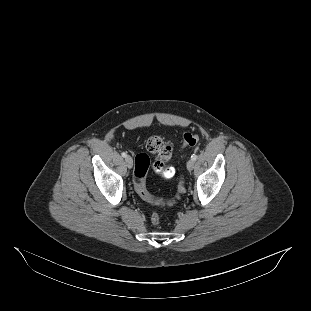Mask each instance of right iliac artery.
Instances as JSON below:
<instances>
[{
	"mask_svg": "<svg viewBox=\"0 0 311 311\" xmlns=\"http://www.w3.org/2000/svg\"><path fill=\"white\" fill-rule=\"evenodd\" d=\"M121 155H122V157H126L127 156V154L125 152H122Z\"/></svg>",
	"mask_w": 311,
	"mask_h": 311,
	"instance_id": "right-iliac-artery-1",
	"label": "right iliac artery"
}]
</instances>
